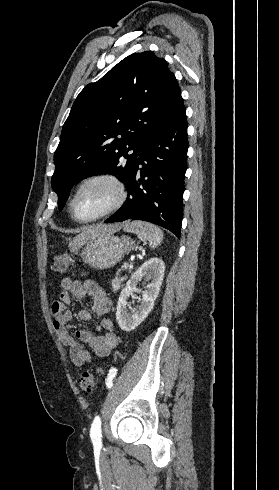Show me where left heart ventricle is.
<instances>
[{
    "label": "left heart ventricle",
    "instance_id": "left-heart-ventricle-1",
    "mask_svg": "<svg viewBox=\"0 0 279 490\" xmlns=\"http://www.w3.org/2000/svg\"><path fill=\"white\" fill-rule=\"evenodd\" d=\"M113 189L105 183H90L82 188L75 204L74 211L79 218H88L104 208L113 198Z\"/></svg>",
    "mask_w": 279,
    "mask_h": 490
}]
</instances>
